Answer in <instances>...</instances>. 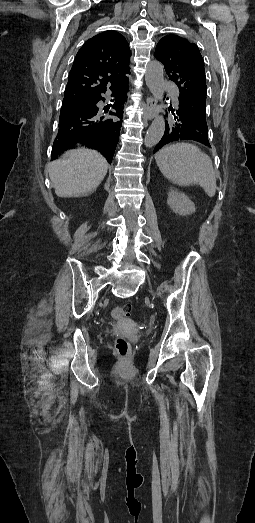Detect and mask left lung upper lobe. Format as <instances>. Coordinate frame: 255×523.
Wrapping results in <instances>:
<instances>
[{"mask_svg": "<svg viewBox=\"0 0 255 523\" xmlns=\"http://www.w3.org/2000/svg\"><path fill=\"white\" fill-rule=\"evenodd\" d=\"M154 56L163 63L169 79L179 88V102L176 107L185 110L184 115H195L196 121L206 123L204 60L197 45L185 38L168 35L159 41ZM171 110L170 106L169 112Z\"/></svg>", "mask_w": 255, "mask_h": 523, "instance_id": "obj_1", "label": "left lung upper lobe"}]
</instances>
